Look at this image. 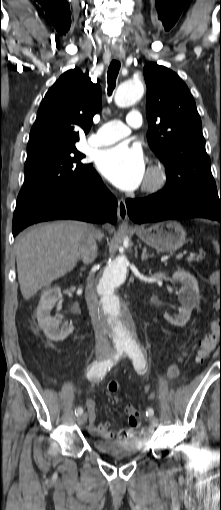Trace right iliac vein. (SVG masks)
Wrapping results in <instances>:
<instances>
[{"instance_id":"63e3f726","label":"right iliac vein","mask_w":221,"mask_h":510,"mask_svg":"<svg viewBox=\"0 0 221 510\" xmlns=\"http://www.w3.org/2000/svg\"><path fill=\"white\" fill-rule=\"evenodd\" d=\"M104 358H105V356H104V355H98V359L102 360V359H104ZM86 420H87V413H82V414H80V415L77 417V423H78L79 425L84 424V423L86 422Z\"/></svg>"}]
</instances>
